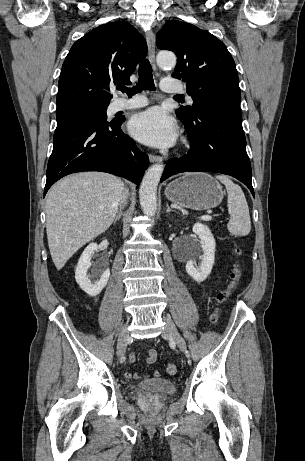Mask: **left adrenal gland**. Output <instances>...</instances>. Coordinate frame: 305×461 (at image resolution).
Here are the masks:
<instances>
[{"mask_svg": "<svg viewBox=\"0 0 305 461\" xmlns=\"http://www.w3.org/2000/svg\"><path fill=\"white\" fill-rule=\"evenodd\" d=\"M166 206H167V210H166L167 213L176 212L175 210L170 208L169 204H166Z\"/></svg>", "mask_w": 305, "mask_h": 461, "instance_id": "a2214340", "label": "left adrenal gland"}]
</instances>
